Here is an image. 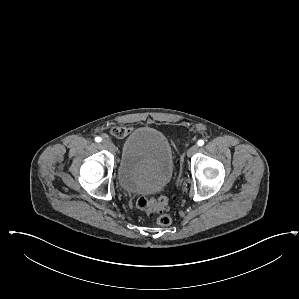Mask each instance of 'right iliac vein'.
<instances>
[{"label": "right iliac vein", "instance_id": "63e3f726", "mask_svg": "<svg viewBox=\"0 0 299 299\" xmlns=\"http://www.w3.org/2000/svg\"><path fill=\"white\" fill-rule=\"evenodd\" d=\"M102 143H103V145H104L107 149H109L110 151H112V152L115 151L114 144H113L110 140H108V139H104Z\"/></svg>", "mask_w": 299, "mask_h": 299}]
</instances>
